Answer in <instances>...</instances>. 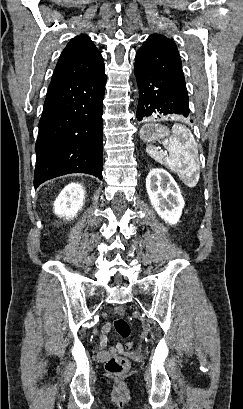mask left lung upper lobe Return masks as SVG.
<instances>
[{
	"instance_id": "1",
	"label": "left lung upper lobe",
	"mask_w": 243,
	"mask_h": 409,
	"mask_svg": "<svg viewBox=\"0 0 243 409\" xmlns=\"http://www.w3.org/2000/svg\"><path fill=\"white\" fill-rule=\"evenodd\" d=\"M135 64L185 82L177 46L163 35L153 34L147 38L137 51Z\"/></svg>"
}]
</instances>
